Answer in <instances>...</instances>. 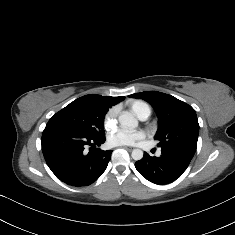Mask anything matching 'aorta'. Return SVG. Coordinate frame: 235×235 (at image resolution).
Returning <instances> with one entry per match:
<instances>
[{
  "label": "aorta",
  "instance_id": "1",
  "mask_svg": "<svg viewBox=\"0 0 235 235\" xmlns=\"http://www.w3.org/2000/svg\"><path fill=\"white\" fill-rule=\"evenodd\" d=\"M118 121L123 130L135 129L138 125L137 120L130 113L120 115ZM131 156L136 161L141 160L143 158V151L141 149H133Z\"/></svg>",
  "mask_w": 235,
  "mask_h": 235
}]
</instances>
